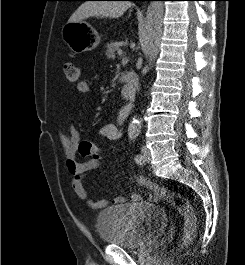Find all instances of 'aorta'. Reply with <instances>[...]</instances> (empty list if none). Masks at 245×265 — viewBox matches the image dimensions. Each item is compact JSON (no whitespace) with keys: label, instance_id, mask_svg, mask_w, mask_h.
<instances>
[{"label":"aorta","instance_id":"aorta-1","mask_svg":"<svg viewBox=\"0 0 245 265\" xmlns=\"http://www.w3.org/2000/svg\"><path fill=\"white\" fill-rule=\"evenodd\" d=\"M164 14V4L162 1H152L147 9L146 21L144 26L143 40L145 52L148 58V65L152 66L155 62L161 45L162 21ZM141 122L134 117L129 124V131L139 132Z\"/></svg>","mask_w":245,"mask_h":265}]
</instances>
